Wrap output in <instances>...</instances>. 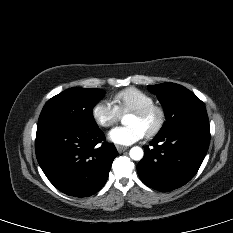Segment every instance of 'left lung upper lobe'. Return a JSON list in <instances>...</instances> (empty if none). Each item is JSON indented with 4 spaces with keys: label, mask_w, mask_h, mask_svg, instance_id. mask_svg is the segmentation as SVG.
<instances>
[{
    "label": "left lung upper lobe",
    "mask_w": 233,
    "mask_h": 233,
    "mask_svg": "<svg viewBox=\"0 0 233 233\" xmlns=\"http://www.w3.org/2000/svg\"><path fill=\"white\" fill-rule=\"evenodd\" d=\"M148 89L157 95L167 119L158 135L190 124H209L204 103L187 88L166 82L148 85Z\"/></svg>",
    "instance_id": "5c2ea615"
}]
</instances>
